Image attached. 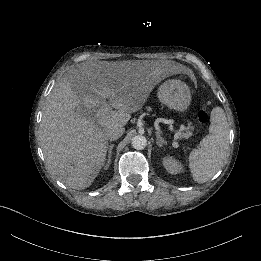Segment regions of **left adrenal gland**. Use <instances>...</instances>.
I'll return each instance as SVG.
<instances>
[{
	"label": "left adrenal gland",
	"mask_w": 261,
	"mask_h": 261,
	"mask_svg": "<svg viewBox=\"0 0 261 261\" xmlns=\"http://www.w3.org/2000/svg\"><path fill=\"white\" fill-rule=\"evenodd\" d=\"M156 137H157L156 143L158 146L161 147L163 144H167V142L164 140V138L160 135L159 132H156Z\"/></svg>",
	"instance_id": "obj_1"
}]
</instances>
